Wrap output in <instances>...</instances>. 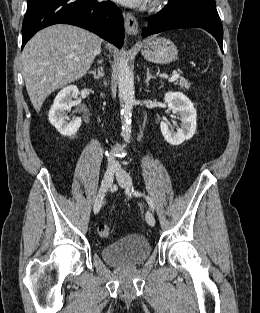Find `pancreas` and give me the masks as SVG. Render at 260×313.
Instances as JSON below:
<instances>
[{
  "label": "pancreas",
  "instance_id": "pancreas-1",
  "mask_svg": "<svg viewBox=\"0 0 260 313\" xmlns=\"http://www.w3.org/2000/svg\"><path fill=\"white\" fill-rule=\"evenodd\" d=\"M175 85H179L182 89H189L190 88V83L188 82V80H186L185 78L181 77L179 81L175 82Z\"/></svg>",
  "mask_w": 260,
  "mask_h": 313
}]
</instances>
